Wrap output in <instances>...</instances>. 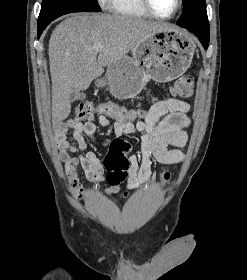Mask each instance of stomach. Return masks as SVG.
<instances>
[{
    "label": "stomach",
    "mask_w": 247,
    "mask_h": 280,
    "mask_svg": "<svg viewBox=\"0 0 247 280\" xmlns=\"http://www.w3.org/2000/svg\"><path fill=\"white\" fill-rule=\"evenodd\" d=\"M195 44L190 37L176 28L156 32L141 41L132 50L107 67L104 80L97 86L107 85L118 99L137 96L150 80L169 82L181 76L190 66Z\"/></svg>",
    "instance_id": "obj_1"
}]
</instances>
